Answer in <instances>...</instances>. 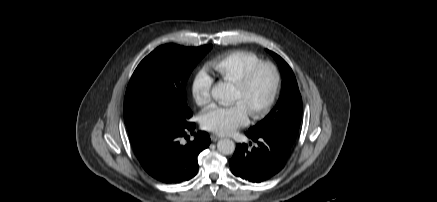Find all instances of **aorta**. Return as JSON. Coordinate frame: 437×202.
<instances>
[{
	"label": "aorta",
	"mask_w": 437,
	"mask_h": 202,
	"mask_svg": "<svg viewBox=\"0 0 437 202\" xmlns=\"http://www.w3.org/2000/svg\"><path fill=\"white\" fill-rule=\"evenodd\" d=\"M212 97L221 103H230L234 100V86L226 82H218L211 90ZM217 149L224 155L233 154L235 143L230 139H221L217 143Z\"/></svg>",
	"instance_id": "762f6f07"
}]
</instances>
